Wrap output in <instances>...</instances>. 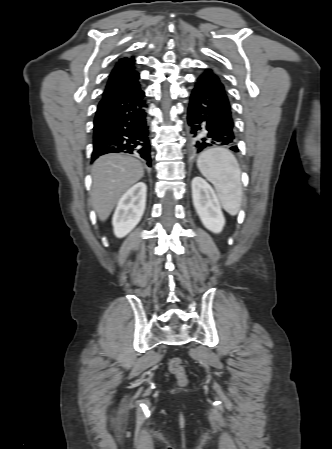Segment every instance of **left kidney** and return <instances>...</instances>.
Instances as JSON below:
<instances>
[{
  "label": "left kidney",
  "instance_id": "5707ae66",
  "mask_svg": "<svg viewBox=\"0 0 332 449\" xmlns=\"http://www.w3.org/2000/svg\"><path fill=\"white\" fill-rule=\"evenodd\" d=\"M191 187L193 205L203 225L213 233H220L225 218L213 188L201 177L193 178Z\"/></svg>",
  "mask_w": 332,
  "mask_h": 449
}]
</instances>
